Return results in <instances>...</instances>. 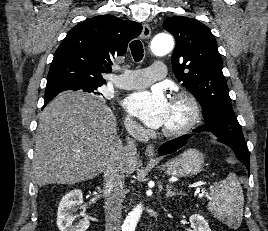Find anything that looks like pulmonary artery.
<instances>
[{
    "mask_svg": "<svg viewBox=\"0 0 268 231\" xmlns=\"http://www.w3.org/2000/svg\"><path fill=\"white\" fill-rule=\"evenodd\" d=\"M166 66L162 62H154L147 67L132 69L127 71L124 76H114L113 84L120 89L142 88L152 84L157 79L164 77Z\"/></svg>",
    "mask_w": 268,
    "mask_h": 231,
    "instance_id": "pulmonary-artery-1",
    "label": "pulmonary artery"
}]
</instances>
